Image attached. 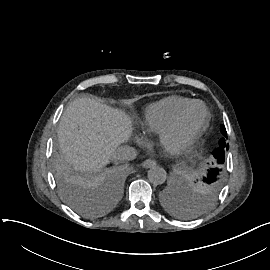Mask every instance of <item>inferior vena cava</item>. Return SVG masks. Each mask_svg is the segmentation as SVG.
<instances>
[{
  "label": "inferior vena cava",
  "instance_id": "602c4592",
  "mask_svg": "<svg viewBox=\"0 0 270 270\" xmlns=\"http://www.w3.org/2000/svg\"><path fill=\"white\" fill-rule=\"evenodd\" d=\"M138 155L137 150L134 147L128 145L118 146L112 153V159L115 161L123 160L129 161L134 160Z\"/></svg>",
  "mask_w": 270,
  "mask_h": 270
}]
</instances>
